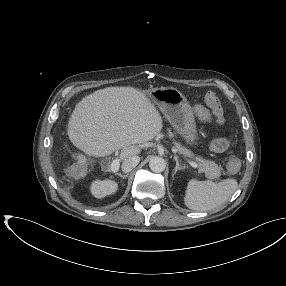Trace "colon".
<instances>
[{"label":"colon","mask_w":286,"mask_h":286,"mask_svg":"<svg viewBox=\"0 0 286 286\" xmlns=\"http://www.w3.org/2000/svg\"><path fill=\"white\" fill-rule=\"evenodd\" d=\"M205 102L209 108V110L212 113H218L221 111V106L216 98V96L213 93H208L205 97ZM199 116L201 117L202 120L204 121H209L210 119V113L209 111L205 108V110L200 111ZM240 168V162L236 158H231L228 161V170L232 173L238 171Z\"/></svg>","instance_id":"1"}]
</instances>
